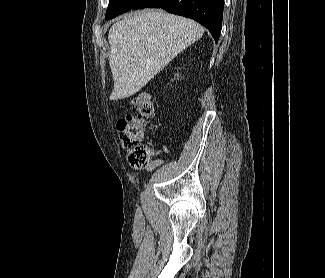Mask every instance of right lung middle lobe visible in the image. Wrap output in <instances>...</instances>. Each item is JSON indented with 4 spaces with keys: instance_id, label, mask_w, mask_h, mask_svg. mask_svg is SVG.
Listing matches in <instances>:
<instances>
[{
    "instance_id": "obj_1",
    "label": "right lung middle lobe",
    "mask_w": 325,
    "mask_h": 278,
    "mask_svg": "<svg viewBox=\"0 0 325 278\" xmlns=\"http://www.w3.org/2000/svg\"><path fill=\"white\" fill-rule=\"evenodd\" d=\"M137 0H109V6L105 18L112 19L128 10L132 9Z\"/></svg>"
}]
</instances>
